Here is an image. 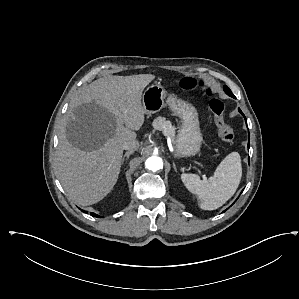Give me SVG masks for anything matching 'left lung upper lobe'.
Instances as JSON below:
<instances>
[{"label": "left lung upper lobe", "mask_w": 299, "mask_h": 299, "mask_svg": "<svg viewBox=\"0 0 299 299\" xmlns=\"http://www.w3.org/2000/svg\"><path fill=\"white\" fill-rule=\"evenodd\" d=\"M224 91L226 92L227 95L229 96H232L233 93L231 92V90L227 87V86H224Z\"/></svg>", "instance_id": "5c2ea615"}]
</instances>
